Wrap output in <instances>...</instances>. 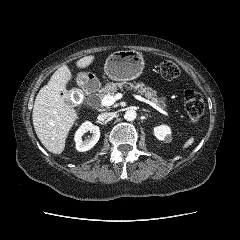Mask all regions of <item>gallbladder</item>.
Instances as JSON below:
<instances>
[{
	"label": "gallbladder",
	"instance_id": "1",
	"mask_svg": "<svg viewBox=\"0 0 240 240\" xmlns=\"http://www.w3.org/2000/svg\"><path fill=\"white\" fill-rule=\"evenodd\" d=\"M69 94H71V92H69ZM66 103L71 104V101L68 99V100H66Z\"/></svg>",
	"mask_w": 240,
	"mask_h": 240
}]
</instances>
